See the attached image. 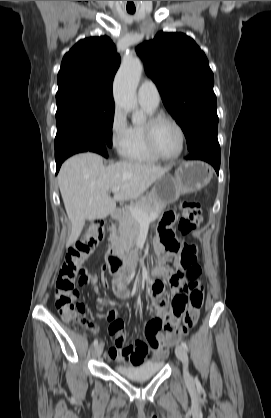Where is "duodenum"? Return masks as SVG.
Masks as SVG:
<instances>
[{
	"label": "duodenum",
	"mask_w": 271,
	"mask_h": 418,
	"mask_svg": "<svg viewBox=\"0 0 271 418\" xmlns=\"http://www.w3.org/2000/svg\"><path fill=\"white\" fill-rule=\"evenodd\" d=\"M111 219L117 221L120 219L118 211L111 214ZM106 262L109 270L113 274L131 272L138 267L139 260L135 253L124 251L116 244L110 246L106 252Z\"/></svg>",
	"instance_id": "obj_1"
}]
</instances>
